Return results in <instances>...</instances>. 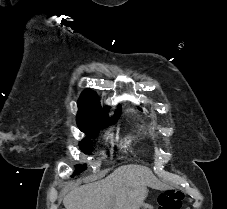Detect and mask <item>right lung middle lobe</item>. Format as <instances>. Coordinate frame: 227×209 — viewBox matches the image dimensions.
Masks as SVG:
<instances>
[{
  "label": "right lung middle lobe",
  "instance_id": "right-lung-middle-lobe-1",
  "mask_svg": "<svg viewBox=\"0 0 227 209\" xmlns=\"http://www.w3.org/2000/svg\"><path fill=\"white\" fill-rule=\"evenodd\" d=\"M116 120L117 119L107 120L100 117H88L77 120V125L79 129L86 134L87 138H95L98 135L100 129L114 124ZM79 146L80 149L86 154H89L92 150L91 142L88 139H83L80 142ZM76 168L79 169L78 171H76L77 174L79 172H82L86 168V165H79L76 166Z\"/></svg>",
  "mask_w": 227,
  "mask_h": 209
}]
</instances>
